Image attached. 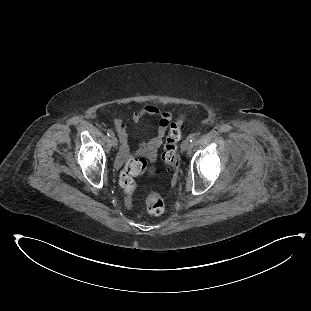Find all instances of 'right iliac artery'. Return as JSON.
Instances as JSON below:
<instances>
[{
	"instance_id": "1",
	"label": "right iliac artery",
	"mask_w": 311,
	"mask_h": 311,
	"mask_svg": "<svg viewBox=\"0 0 311 311\" xmlns=\"http://www.w3.org/2000/svg\"><path fill=\"white\" fill-rule=\"evenodd\" d=\"M107 135H108L109 137H112V136H114V132H113L111 129H108V130H107Z\"/></svg>"
}]
</instances>
